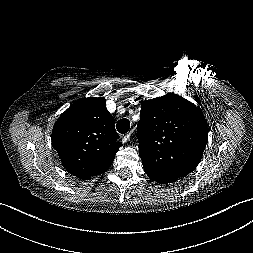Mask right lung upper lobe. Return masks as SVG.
I'll return each mask as SVG.
<instances>
[{
    "label": "right lung upper lobe",
    "mask_w": 253,
    "mask_h": 253,
    "mask_svg": "<svg viewBox=\"0 0 253 253\" xmlns=\"http://www.w3.org/2000/svg\"><path fill=\"white\" fill-rule=\"evenodd\" d=\"M114 124L103 97L82 99L58 118L52 145L67 172L89 180L109 168L122 146Z\"/></svg>",
    "instance_id": "1"
}]
</instances>
